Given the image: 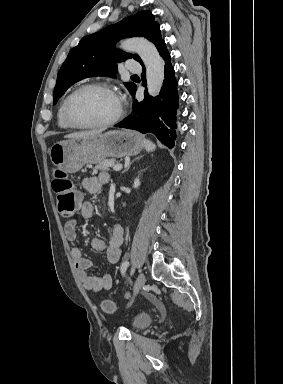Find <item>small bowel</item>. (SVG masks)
<instances>
[{"mask_svg":"<svg viewBox=\"0 0 283 384\" xmlns=\"http://www.w3.org/2000/svg\"><path fill=\"white\" fill-rule=\"evenodd\" d=\"M109 182V175L100 173L82 181L83 188L91 194L99 193ZM81 215L84 219H90L94 214V206L86 201L81 204ZM64 233L72 245L71 257L78 271V276L85 289L93 292L109 290L113 285V279L110 274L95 276L89 273L93 263L90 259L83 256L78 247L77 222L71 219L64 224ZM123 228L119 224H114L109 241L106 243L102 238L93 237L90 241L91 247L96 251L106 253V259L109 264H115L121 257V245L123 243Z\"/></svg>","mask_w":283,"mask_h":384,"instance_id":"c3829d8e","label":"small bowel"}]
</instances>
